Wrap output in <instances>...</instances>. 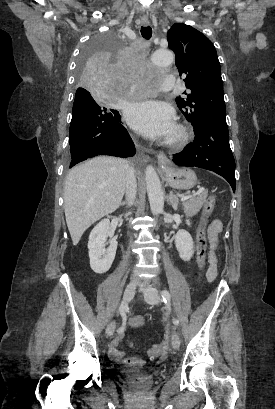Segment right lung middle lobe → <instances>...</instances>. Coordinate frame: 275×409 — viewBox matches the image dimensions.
Here are the masks:
<instances>
[{"label":"right lung middle lobe","instance_id":"right-lung-middle-lobe-1","mask_svg":"<svg viewBox=\"0 0 275 409\" xmlns=\"http://www.w3.org/2000/svg\"><path fill=\"white\" fill-rule=\"evenodd\" d=\"M125 43L119 30H99L92 42H86L83 57L78 59V79L69 129L70 150L62 178L72 173L74 165L97 155L127 158L136 153L134 143L121 123L118 111L124 96H108L105 91H129V82H121L116 70V51ZM133 169H146V160H133Z\"/></svg>","mask_w":275,"mask_h":409}]
</instances>
